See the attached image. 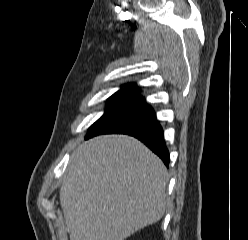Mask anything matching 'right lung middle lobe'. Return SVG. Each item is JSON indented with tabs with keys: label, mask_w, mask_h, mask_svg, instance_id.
Returning <instances> with one entry per match:
<instances>
[{
	"label": "right lung middle lobe",
	"mask_w": 248,
	"mask_h": 240,
	"mask_svg": "<svg viewBox=\"0 0 248 240\" xmlns=\"http://www.w3.org/2000/svg\"><path fill=\"white\" fill-rule=\"evenodd\" d=\"M138 101L131 97H125V96H119V95H112L107 102L106 111L104 115L97 120L89 130H91L93 127H95L99 122H101L103 119L107 118L108 116L120 111L121 109H124L134 103H137Z\"/></svg>",
	"instance_id": "obj_1"
}]
</instances>
